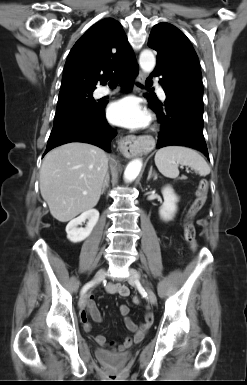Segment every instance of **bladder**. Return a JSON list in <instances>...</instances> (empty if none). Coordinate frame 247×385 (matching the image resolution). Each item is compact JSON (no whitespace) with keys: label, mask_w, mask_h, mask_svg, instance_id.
I'll use <instances>...</instances> for the list:
<instances>
[{"label":"bladder","mask_w":247,"mask_h":385,"mask_svg":"<svg viewBox=\"0 0 247 385\" xmlns=\"http://www.w3.org/2000/svg\"><path fill=\"white\" fill-rule=\"evenodd\" d=\"M98 354H100L102 357L109 359V360H115L117 362H124L129 359L130 353L126 352L120 355L112 356L108 352L105 351H98Z\"/></svg>","instance_id":"obj_1"}]
</instances>
